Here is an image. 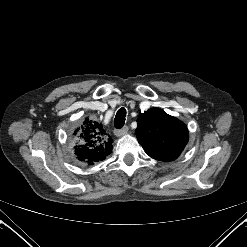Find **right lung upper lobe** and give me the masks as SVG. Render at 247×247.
Masks as SVG:
<instances>
[{"label":"right lung upper lobe","instance_id":"1","mask_svg":"<svg viewBox=\"0 0 247 247\" xmlns=\"http://www.w3.org/2000/svg\"><path fill=\"white\" fill-rule=\"evenodd\" d=\"M78 131L74 142V155L78 161L94 165L111 153L112 140L101 123L88 118Z\"/></svg>","mask_w":247,"mask_h":247}]
</instances>
